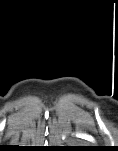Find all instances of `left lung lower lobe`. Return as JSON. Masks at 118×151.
Returning a JSON list of instances; mask_svg holds the SVG:
<instances>
[{"label":"left lung lower lobe","instance_id":"left-lung-lower-lobe-1","mask_svg":"<svg viewBox=\"0 0 118 151\" xmlns=\"http://www.w3.org/2000/svg\"><path fill=\"white\" fill-rule=\"evenodd\" d=\"M74 151H91L94 150V148H85V147H76L75 149H73Z\"/></svg>","mask_w":118,"mask_h":151}]
</instances>
